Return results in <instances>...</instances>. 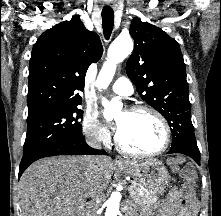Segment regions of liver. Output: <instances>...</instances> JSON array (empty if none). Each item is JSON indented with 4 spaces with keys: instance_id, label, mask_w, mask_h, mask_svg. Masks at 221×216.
<instances>
[{
    "instance_id": "liver-1",
    "label": "liver",
    "mask_w": 221,
    "mask_h": 216,
    "mask_svg": "<svg viewBox=\"0 0 221 216\" xmlns=\"http://www.w3.org/2000/svg\"><path fill=\"white\" fill-rule=\"evenodd\" d=\"M88 158L58 156L31 164L19 181L22 216H81L93 184L97 182L103 190L114 170L111 158L98 156L96 180Z\"/></svg>"
}]
</instances>
